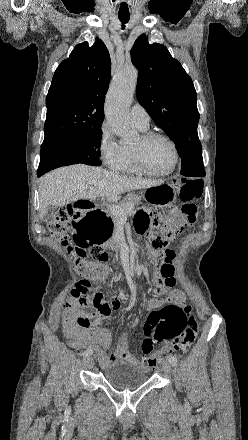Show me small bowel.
<instances>
[{
    "instance_id": "c3829d8e",
    "label": "small bowel",
    "mask_w": 248,
    "mask_h": 440,
    "mask_svg": "<svg viewBox=\"0 0 248 440\" xmlns=\"http://www.w3.org/2000/svg\"><path fill=\"white\" fill-rule=\"evenodd\" d=\"M136 229L139 233L145 232L148 228L155 225L151 215L147 211L138 212L135 218ZM149 268L153 271V296L146 299V308L148 310L159 309L167 304H177L186 308L185 295L181 290H172L177 284L176 271L177 268L173 263L172 257H154L149 262ZM152 285V282H149ZM101 295L100 304L95 307V312H89L81 309L74 301H69L63 309L62 329L64 335L68 339V345L74 349H91L97 354L99 364L102 368H107L117 361H125L134 366L147 369L149 366L147 359H140L132 355L128 351L129 337L122 334L113 352L108 353L107 350L111 345V335L106 329L92 328L96 326L102 319L109 317L113 311L117 310L120 305V297H112L106 301L103 293L97 288ZM170 292V293H169ZM167 297H159L167 294ZM80 314L85 315L89 319L87 326H81L77 323L76 317ZM135 320L133 325H136Z\"/></svg>"
}]
</instances>
